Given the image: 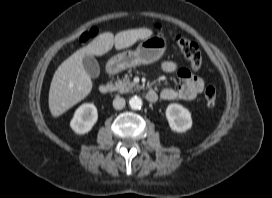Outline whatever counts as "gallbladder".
<instances>
[{"label":"gallbladder","instance_id":"obj_1","mask_svg":"<svg viewBox=\"0 0 272 198\" xmlns=\"http://www.w3.org/2000/svg\"><path fill=\"white\" fill-rule=\"evenodd\" d=\"M83 66L87 74L92 78H97L100 74V67L97 60L90 56L85 55L83 58Z\"/></svg>","mask_w":272,"mask_h":198}]
</instances>
